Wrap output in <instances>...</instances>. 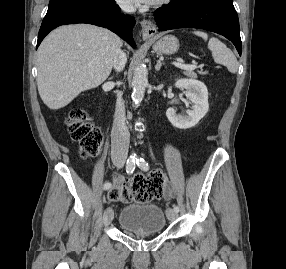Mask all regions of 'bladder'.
I'll return each mask as SVG.
<instances>
[{
  "label": "bladder",
  "mask_w": 286,
  "mask_h": 269,
  "mask_svg": "<svg viewBox=\"0 0 286 269\" xmlns=\"http://www.w3.org/2000/svg\"><path fill=\"white\" fill-rule=\"evenodd\" d=\"M118 224L131 233H161L166 229V214L158 205L129 203L121 209Z\"/></svg>",
  "instance_id": "bladder-1"
}]
</instances>
